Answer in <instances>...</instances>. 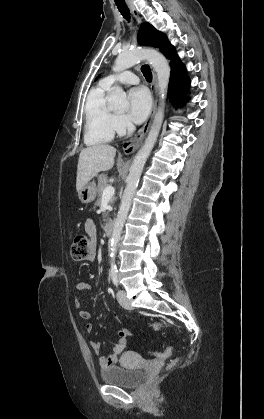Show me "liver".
<instances>
[{
    "instance_id": "1",
    "label": "liver",
    "mask_w": 264,
    "mask_h": 419,
    "mask_svg": "<svg viewBox=\"0 0 264 419\" xmlns=\"http://www.w3.org/2000/svg\"><path fill=\"white\" fill-rule=\"evenodd\" d=\"M116 149L108 144H98L83 149L77 166L76 190L79 192L99 172L114 165Z\"/></svg>"
}]
</instances>
